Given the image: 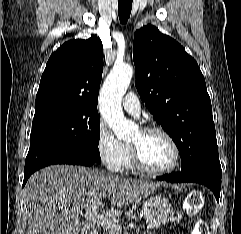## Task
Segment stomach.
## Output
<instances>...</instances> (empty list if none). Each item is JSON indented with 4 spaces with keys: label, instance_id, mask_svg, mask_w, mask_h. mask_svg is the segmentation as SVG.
Instances as JSON below:
<instances>
[{
    "label": "stomach",
    "instance_id": "stomach-1",
    "mask_svg": "<svg viewBox=\"0 0 241 234\" xmlns=\"http://www.w3.org/2000/svg\"><path fill=\"white\" fill-rule=\"evenodd\" d=\"M142 211L146 222L151 227L165 225L174 214V209L167 198L152 195L144 199Z\"/></svg>",
    "mask_w": 241,
    "mask_h": 234
}]
</instances>
